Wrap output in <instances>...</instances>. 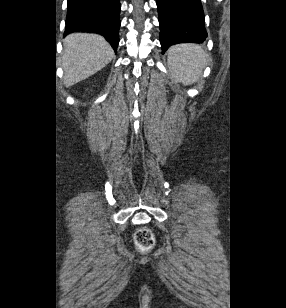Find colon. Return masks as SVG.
<instances>
[{
  "mask_svg": "<svg viewBox=\"0 0 286 308\" xmlns=\"http://www.w3.org/2000/svg\"><path fill=\"white\" fill-rule=\"evenodd\" d=\"M135 244L142 250L150 249L154 246L155 238L148 228H139L134 234Z\"/></svg>",
  "mask_w": 286,
  "mask_h": 308,
  "instance_id": "1",
  "label": "colon"
}]
</instances>
